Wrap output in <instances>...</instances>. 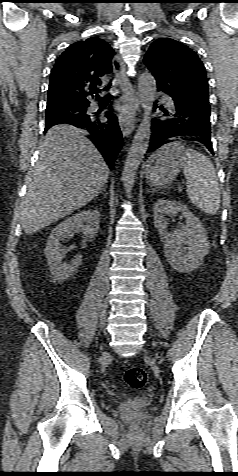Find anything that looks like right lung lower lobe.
I'll return each instance as SVG.
<instances>
[{
  "label": "right lung lower lobe",
  "instance_id": "1",
  "mask_svg": "<svg viewBox=\"0 0 238 476\" xmlns=\"http://www.w3.org/2000/svg\"><path fill=\"white\" fill-rule=\"evenodd\" d=\"M106 123H102L93 115L85 117H75L66 124L87 130L90 133L89 139L105 158L110 169L113 168L116 156L122 146V134L118 125L117 117L112 111L105 113ZM53 125L47 124V131Z\"/></svg>",
  "mask_w": 238,
  "mask_h": 476
}]
</instances>
